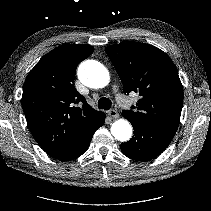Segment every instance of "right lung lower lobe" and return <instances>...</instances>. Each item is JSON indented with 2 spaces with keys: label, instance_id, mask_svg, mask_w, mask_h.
<instances>
[{
  "label": "right lung lower lobe",
  "instance_id": "obj_1",
  "mask_svg": "<svg viewBox=\"0 0 211 211\" xmlns=\"http://www.w3.org/2000/svg\"><path fill=\"white\" fill-rule=\"evenodd\" d=\"M105 114L104 116L98 120L91 128L87 130V132L80 138H78L70 147H68L63 152L53 156L55 159L60 161H69L76 159L81 156L88 149L91 139L93 137L94 132L104 125L105 122Z\"/></svg>",
  "mask_w": 211,
  "mask_h": 211
}]
</instances>
